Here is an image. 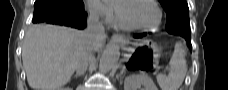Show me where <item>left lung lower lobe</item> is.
Listing matches in <instances>:
<instances>
[{
  "label": "left lung lower lobe",
  "instance_id": "0a47b994",
  "mask_svg": "<svg viewBox=\"0 0 228 90\" xmlns=\"http://www.w3.org/2000/svg\"><path fill=\"white\" fill-rule=\"evenodd\" d=\"M167 31L171 34H175V35H179V36L183 37L188 42L189 48H192L190 32L179 31L177 29H167ZM143 36H145V34H137L134 37L140 38Z\"/></svg>",
  "mask_w": 228,
  "mask_h": 90
}]
</instances>
